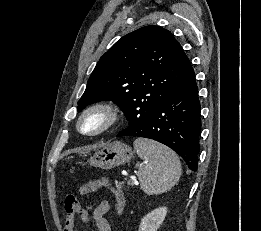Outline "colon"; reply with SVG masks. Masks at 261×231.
Instances as JSON below:
<instances>
[{"label": "colon", "mask_w": 261, "mask_h": 231, "mask_svg": "<svg viewBox=\"0 0 261 231\" xmlns=\"http://www.w3.org/2000/svg\"><path fill=\"white\" fill-rule=\"evenodd\" d=\"M83 189L85 192L94 190L96 189V183L94 181H91ZM121 207H122V201L120 200V198H118L117 208L120 209ZM63 212H64L65 221L68 222L74 220V218L77 215L82 217L83 209L81 208L79 199L75 194L69 193L66 195L64 199Z\"/></svg>", "instance_id": "obj_1"}]
</instances>
